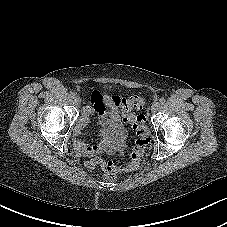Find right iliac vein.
<instances>
[{
  "instance_id": "right-iliac-vein-1",
  "label": "right iliac vein",
  "mask_w": 227,
  "mask_h": 227,
  "mask_svg": "<svg viewBox=\"0 0 227 227\" xmlns=\"http://www.w3.org/2000/svg\"><path fill=\"white\" fill-rule=\"evenodd\" d=\"M74 102H75L76 105H79V104L81 103V98H80V96L76 95V96L74 97Z\"/></svg>"
}]
</instances>
